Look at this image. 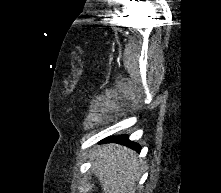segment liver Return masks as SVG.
Wrapping results in <instances>:
<instances>
[{
  "instance_id": "1",
  "label": "liver",
  "mask_w": 221,
  "mask_h": 193,
  "mask_svg": "<svg viewBox=\"0 0 221 193\" xmlns=\"http://www.w3.org/2000/svg\"><path fill=\"white\" fill-rule=\"evenodd\" d=\"M91 160L104 193H135L143 170L135 151L118 144H106L92 152Z\"/></svg>"
}]
</instances>
